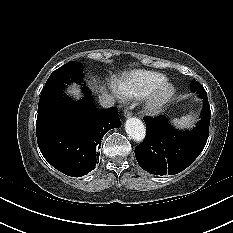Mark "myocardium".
Instances as JSON below:
<instances>
[{
    "mask_svg": "<svg viewBox=\"0 0 233 233\" xmlns=\"http://www.w3.org/2000/svg\"><path fill=\"white\" fill-rule=\"evenodd\" d=\"M174 85L164 80L154 87L143 100V109L147 114L159 112L174 96Z\"/></svg>",
    "mask_w": 233,
    "mask_h": 233,
    "instance_id": "obj_1",
    "label": "myocardium"
}]
</instances>
